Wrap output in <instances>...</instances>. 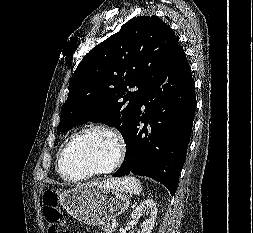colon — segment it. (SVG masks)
<instances>
[{
  "label": "colon",
  "mask_w": 253,
  "mask_h": 233,
  "mask_svg": "<svg viewBox=\"0 0 253 233\" xmlns=\"http://www.w3.org/2000/svg\"><path fill=\"white\" fill-rule=\"evenodd\" d=\"M43 214L46 220L48 233H67L64 216L58 205V196L55 190H47L43 195Z\"/></svg>",
  "instance_id": "1"
}]
</instances>
